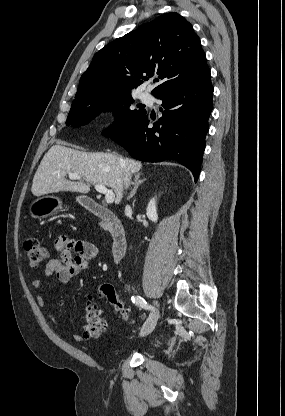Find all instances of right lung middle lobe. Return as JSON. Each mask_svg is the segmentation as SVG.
Here are the masks:
<instances>
[{
  "mask_svg": "<svg viewBox=\"0 0 285 416\" xmlns=\"http://www.w3.org/2000/svg\"><path fill=\"white\" fill-rule=\"evenodd\" d=\"M123 100H127L128 103L120 110ZM133 102L131 96L99 101L87 107L70 111L66 123L67 125L71 124L73 127H79L89 123L100 112L113 110L117 113L116 121L113 127L104 131L105 136L112 137L125 131L146 115V110L140 105H137L139 110H130L129 106Z\"/></svg>",
  "mask_w": 285,
  "mask_h": 416,
  "instance_id": "dd1d6c3e",
  "label": "right lung middle lobe"
}]
</instances>
